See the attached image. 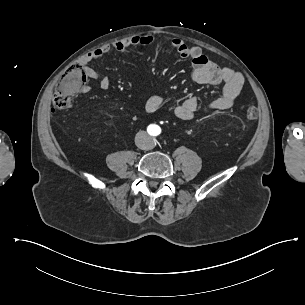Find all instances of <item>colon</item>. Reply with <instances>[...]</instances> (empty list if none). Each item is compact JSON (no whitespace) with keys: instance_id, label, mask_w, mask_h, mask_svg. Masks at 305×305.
<instances>
[{"instance_id":"colon-1","label":"colon","mask_w":305,"mask_h":305,"mask_svg":"<svg viewBox=\"0 0 305 305\" xmlns=\"http://www.w3.org/2000/svg\"><path fill=\"white\" fill-rule=\"evenodd\" d=\"M86 84L85 74L79 64L73 62L67 68L57 85V93L53 97V107L65 109L70 101L74 100L80 88ZM256 109L250 107L246 110V116L250 119L256 117Z\"/></svg>"}]
</instances>
